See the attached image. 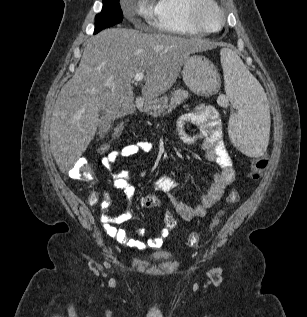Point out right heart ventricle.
Wrapping results in <instances>:
<instances>
[{
	"label": "right heart ventricle",
	"instance_id": "right-heart-ventricle-1",
	"mask_svg": "<svg viewBox=\"0 0 307 317\" xmlns=\"http://www.w3.org/2000/svg\"><path fill=\"white\" fill-rule=\"evenodd\" d=\"M152 21L163 32L182 35H203L191 18L190 8L196 0H154Z\"/></svg>",
	"mask_w": 307,
	"mask_h": 317
}]
</instances>
